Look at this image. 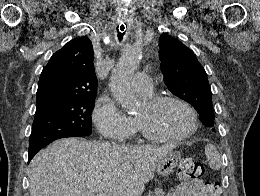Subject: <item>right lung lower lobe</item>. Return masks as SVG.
<instances>
[{
	"label": "right lung lower lobe",
	"instance_id": "1",
	"mask_svg": "<svg viewBox=\"0 0 260 196\" xmlns=\"http://www.w3.org/2000/svg\"><path fill=\"white\" fill-rule=\"evenodd\" d=\"M39 151V150H38ZM37 150L29 151V161L32 159V157L38 152Z\"/></svg>",
	"mask_w": 260,
	"mask_h": 196
}]
</instances>
